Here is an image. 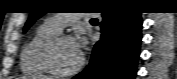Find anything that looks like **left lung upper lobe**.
Segmentation results:
<instances>
[{
	"label": "left lung upper lobe",
	"instance_id": "left-lung-upper-lobe-1",
	"mask_svg": "<svg viewBox=\"0 0 177 79\" xmlns=\"http://www.w3.org/2000/svg\"><path fill=\"white\" fill-rule=\"evenodd\" d=\"M44 14H45L44 9H37L35 11H32L30 13L29 20L26 22V25L24 27V32L28 30V28L35 22V20H37Z\"/></svg>",
	"mask_w": 177,
	"mask_h": 79
}]
</instances>
